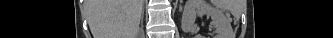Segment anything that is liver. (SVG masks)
<instances>
[{"mask_svg": "<svg viewBox=\"0 0 333 38\" xmlns=\"http://www.w3.org/2000/svg\"><path fill=\"white\" fill-rule=\"evenodd\" d=\"M144 0H87L93 38H136Z\"/></svg>", "mask_w": 333, "mask_h": 38, "instance_id": "obj_1", "label": "liver"}]
</instances>
